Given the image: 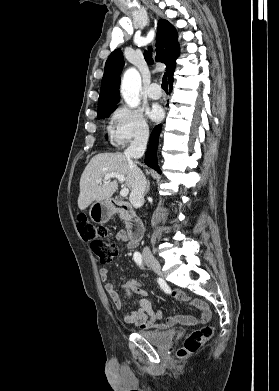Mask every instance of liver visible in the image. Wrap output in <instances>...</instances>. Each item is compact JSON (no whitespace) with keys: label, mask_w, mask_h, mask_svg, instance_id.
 Wrapping results in <instances>:
<instances>
[{"label":"liver","mask_w":279,"mask_h":391,"mask_svg":"<svg viewBox=\"0 0 279 391\" xmlns=\"http://www.w3.org/2000/svg\"><path fill=\"white\" fill-rule=\"evenodd\" d=\"M110 173L124 176L126 186L132 190L133 175L129 160L121 153H102L95 155L84 169L80 178L78 207L85 210L94 201L108 200L117 188V181L104 180ZM96 180H101L97 184Z\"/></svg>","instance_id":"liver-1"}]
</instances>
